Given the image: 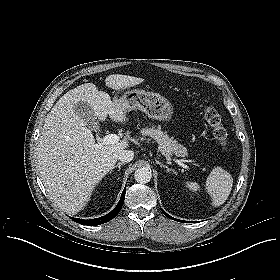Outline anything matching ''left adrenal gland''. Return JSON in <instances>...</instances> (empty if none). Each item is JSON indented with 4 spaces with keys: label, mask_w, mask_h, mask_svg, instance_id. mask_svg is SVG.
Wrapping results in <instances>:
<instances>
[{
    "label": "left adrenal gland",
    "mask_w": 280,
    "mask_h": 280,
    "mask_svg": "<svg viewBox=\"0 0 280 280\" xmlns=\"http://www.w3.org/2000/svg\"><path fill=\"white\" fill-rule=\"evenodd\" d=\"M157 163H158L161 167L166 168V171H167V172L172 171L173 173H175L174 169L169 168L167 165L163 164L162 162H157Z\"/></svg>",
    "instance_id": "a2214340"
}]
</instances>
